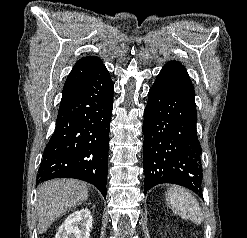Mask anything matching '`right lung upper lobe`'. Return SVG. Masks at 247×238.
<instances>
[{"instance_id":"obj_1","label":"right lung upper lobe","mask_w":247,"mask_h":238,"mask_svg":"<svg viewBox=\"0 0 247 238\" xmlns=\"http://www.w3.org/2000/svg\"><path fill=\"white\" fill-rule=\"evenodd\" d=\"M103 67L101 59L96 56H86L79 59L64 84L62 99L77 90Z\"/></svg>"}]
</instances>
